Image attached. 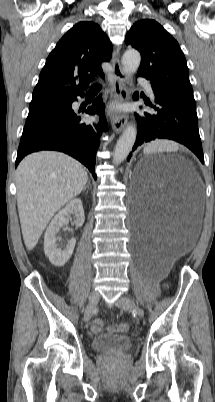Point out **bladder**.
<instances>
[{
	"mask_svg": "<svg viewBox=\"0 0 215 402\" xmlns=\"http://www.w3.org/2000/svg\"><path fill=\"white\" fill-rule=\"evenodd\" d=\"M133 346L132 340L125 335L104 333L92 339L91 347L94 351L108 354H122Z\"/></svg>",
	"mask_w": 215,
	"mask_h": 402,
	"instance_id": "bladder-1",
	"label": "bladder"
}]
</instances>
